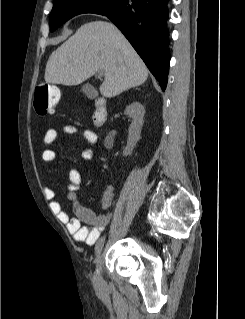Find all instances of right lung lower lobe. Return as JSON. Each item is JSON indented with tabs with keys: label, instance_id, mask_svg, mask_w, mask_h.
<instances>
[{
	"label": "right lung lower lobe",
	"instance_id": "1",
	"mask_svg": "<svg viewBox=\"0 0 245 319\" xmlns=\"http://www.w3.org/2000/svg\"><path fill=\"white\" fill-rule=\"evenodd\" d=\"M168 0H123L106 16L121 30L165 90L170 51Z\"/></svg>",
	"mask_w": 245,
	"mask_h": 319
}]
</instances>
